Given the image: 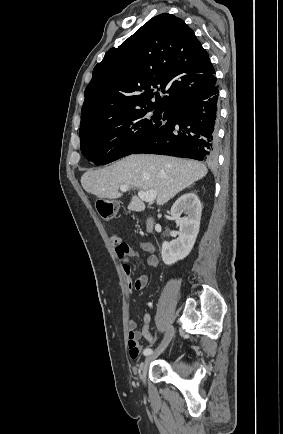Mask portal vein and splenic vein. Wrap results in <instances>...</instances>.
<instances>
[{"label":"portal vein and splenic vein","mask_w":283,"mask_h":434,"mask_svg":"<svg viewBox=\"0 0 283 434\" xmlns=\"http://www.w3.org/2000/svg\"><path fill=\"white\" fill-rule=\"evenodd\" d=\"M119 188H120V190L122 192H126L129 189V186H127V185H121ZM138 196L143 201L151 203V202H153L156 199L157 193L154 190H150V191H147V192L139 191L138 192Z\"/></svg>","instance_id":"1"}]
</instances>
